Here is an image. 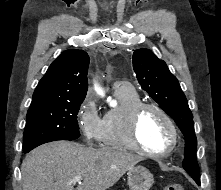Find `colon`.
Wrapping results in <instances>:
<instances>
[{
	"mask_svg": "<svg viewBox=\"0 0 221 190\" xmlns=\"http://www.w3.org/2000/svg\"><path fill=\"white\" fill-rule=\"evenodd\" d=\"M163 190H184L180 184H168Z\"/></svg>",
	"mask_w": 221,
	"mask_h": 190,
	"instance_id": "obj_1",
	"label": "colon"
}]
</instances>
